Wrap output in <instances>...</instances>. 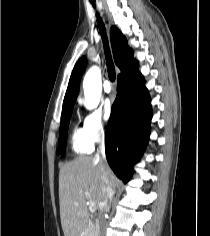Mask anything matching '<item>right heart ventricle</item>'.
Instances as JSON below:
<instances>
[{
	"label": "right heart ventricle",
	"instance_id": "e07e8e85",
	"mask_svg": "<svg viewBox=\"0 0 210 236\" xmlns=\"http://www.w3.org/2000/svg\"><path fill=\"white\" fill-rule=\"evenodd\" d=\"M70 145L74 153L82 155L92 151V143L87 139L84 129L77 122L73 123L70 133Z\"/></svg>",
	"mask_w": 210,
	"mask_h": 236
}]
</instances>
